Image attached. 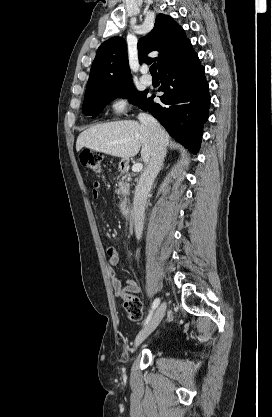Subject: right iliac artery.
<instances>
[{
	"label": "right iliac artery",
	"mask_w": 272,
	"mask_h": 417,
	"mask_svg": "<svg viewBox=\"0 0 272 417\" xmlns=\"http://www.w3.org/2000/svg\"><path fill=\"white\" fill-rule=\"evenodd\" d=\"M159 303H160V299L156 298L153 302L152 309L144 322V325H146L150 321V319L152 318L153 312L158 307Z\"/></svg>",
	"instance_id": "right-iliac-artery-1"
}]
</instances>
